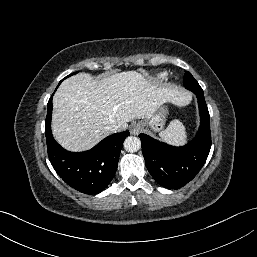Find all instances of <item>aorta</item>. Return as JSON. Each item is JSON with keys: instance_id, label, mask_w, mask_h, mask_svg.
Returning <instances> with one entry per match:
<instances>
[{"instance_id": "obj_1", "label": "aorta", "mask_w": 257, "mask_h": 257, "mask_svg": "<svg viewBox=\"0 0 257 257\" xmlns=\"http://www.w3.org/2000/svg\"><path fill=\"white\" fill-rule=\"evenodd\" d=\"M124 148L127 152H137L141 148V141L138 137L129 136L124 141Z\"/></svg>"}]
</instances>
